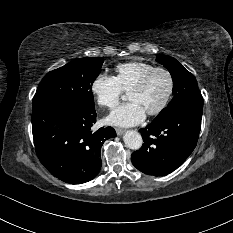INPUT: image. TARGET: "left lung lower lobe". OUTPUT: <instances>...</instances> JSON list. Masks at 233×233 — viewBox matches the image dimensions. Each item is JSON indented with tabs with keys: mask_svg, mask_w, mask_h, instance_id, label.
<instances>
[{
	"mask_svg": "<svg viewBox=\"0 0 233 233\" xmlns=\"http://www.w3.org/2000/svg\"><path fill=\"white\" fill-rule=\"evenodd\" d=\"M203 100H195L172 116L152 121L140 130L144 144L131 161L141 172L164 176L176 170L194 150L202 118Z\"/></svg>",
	"mask_w": 233,
	"mask_h": 233,
	"instance_id": "obj_1",
	"label": "left lung lower lobe"
}]
</instances>
